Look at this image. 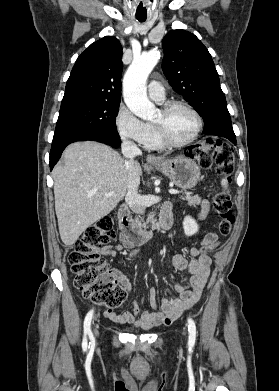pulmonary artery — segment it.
Listing matches in <instances>:
<instances>
[{"label":"pulmonary artery","mask_w":279,"mask_h":391,"mask_svg":"<svg viewBox=\"0 0 279 391\" xmlns=\"http://www.w3.org/2000/svg\"><path fill=\"white\" fill-rule=\"evenodd\" d=\"M148 93L149 96L157 102H162L165 99V90L158 81L152 80L149 82Z\"/></svg>","instance_id":"obj_1"}]
</instances>
